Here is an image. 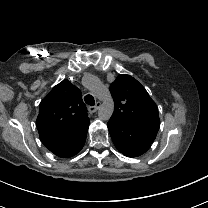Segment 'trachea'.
<instances>
[{
	"label": "trachea",
	"mask_w": 208,
	"mask_h": 208,
	"mask_svg": "<svg viewBox=\"0 0 208 208\" xmlns=\"http://www.w3.org/2000/svg\"><path fill=\"white\" fill-rule=\"evenodd\" d=\"M84 99H85V103L87 105H90V106H94L95 105V99H94V97L92 95H90V94L86 95L84 97Z\"/></svg>",
	"instance_id": "3493384b"
}]
</instances>
